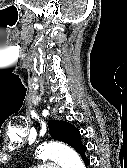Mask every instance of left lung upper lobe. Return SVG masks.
Segmentation results:
<instances>
[{"label":"left lung upper lobe","instance_id":"5c2ea615","mask_svg":"<svg viewBox=\"0 0 127 168\" xmlns=\"http://www.w3.org/2000/svg\"><path fill=\"white\" fill-rule=\"evenodd\" d=\"M50 135L53 139L65 142L77 150L82 142L80 140L79 130L71 123L65 121H48Z\"/></svg>","mask_w":127,"mask_h":168}]
</instances>
